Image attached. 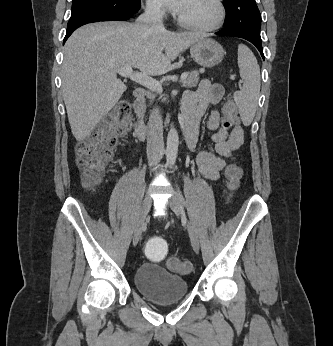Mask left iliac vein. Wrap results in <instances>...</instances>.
<instances>
[{
	"instance_id": "1",
	"label": "left iliac vein",
	"mask_w": 333,
	"mask_h": 346,
	"mask_svg": "<svg viewBox=\"0 0 333 346\" xmlns=\"http://www.w3.org/2000/svg\"><path fill=\"white\" fill-rule=\"evenodd\" d=\"M168 204L176 214H179L182 216L184 215L183 208L181 205V200L176 193H174L171 196V198L168 201ZM185 225H186L187 231L189 233L191 244H192L194 250L198 253L199 247H200L198 235H197L195 229L193 228V226L191 225L190 222L186 221Z\"/></svg>"
}]
</instances>
